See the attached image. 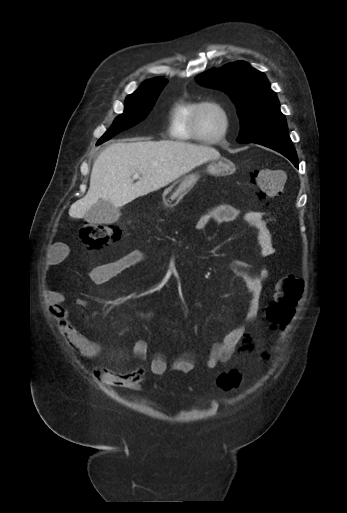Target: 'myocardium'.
I'll use <instances>...</instances> for the list:
<instances>
[{
	"label": "myocardium",
	"instance_id": "obj_1",
	"mask_svg": "<svg viewBox=\"0 0 347 513\" xmlns=\"http://www.w3.org/2000/svg\"><path fill=\"white\" fill-rule=\"evenodd\" d=\"M207 107L216 108L221 113V115L223 117V129L219 135H217L213 138L203 137L200 134L199 129H198V116H199L200 112ZM230 124H231L230 112L225 105H223L220 102H216V101H202L198 104V106L196 107V109L193 113L192 120H191V130L196 137H198L199 139H201L203 141V143L216 144L227 136L229 128H230Z\"/></svg>",
	"mask_w": 347,
	"mask_h": 513
}]
</instances>
